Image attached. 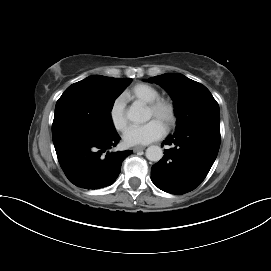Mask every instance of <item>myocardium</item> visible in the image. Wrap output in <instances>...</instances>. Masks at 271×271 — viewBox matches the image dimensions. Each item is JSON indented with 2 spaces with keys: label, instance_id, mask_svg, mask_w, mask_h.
Here are the masks:
<instances>
[{
  "label": "myocardium",
  "instance_id": "f54148a6",
  "mask_svg": "<svg viewBox=\"0 0 271 271\" xmlns=\"http://www.w3.org/2000/svg\"><path fill=\"white\" fill-rule=\"evenodd\" d=\"M147 107L153 112L154 115L163 116L164 125L166 126V128H171L175 124L176 107L171 100L159 97L154 101L148 103Z\"/></svg>",
  "mask_w": 271,
  "mask_h": 271
}]
</instances>
